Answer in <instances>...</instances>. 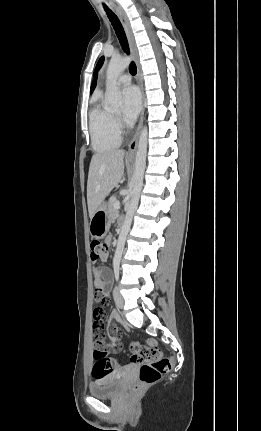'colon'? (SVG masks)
Masks as SVG:
<instances>
[{
	"label": "colon",
	"mask_w": 261,
	"mask_h": 431,
	"mask_svg": "<svg viewBox=\"0 0 261 431\" xmlns=\"http://www.w3.org/2000/svg\"><path fill=\"white\" fill-rule=\"evenodd\" d=\"M107 254L108 244L106 242L97 240L91 242V259L93 261L100 260ZM101 317L106 318V315H101ZM134 346H137V349H134ZM131 349L134 350L131 361L140 365V383L134 388L135 391H138L141 387L155 384L160 380L162 375L168 373L172 368L171 360L156 348L154 341H148L143 347L132 343ZM94 357L96 362L92 368V373L95 380L98 382L107 379L108 373H118L121 370V367L115 364L113 360H109L106 357V353L102 350H96L94 352Z\"/></svg>",
	"instance_id": "1"
}]
</instances>
